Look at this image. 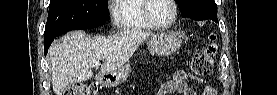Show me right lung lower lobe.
<instances>
[{
    "label": "right lung lower lobe",
    "instance_id": "right-lung-lower-lobe-1",
    "mask_svg": "<svg viewBox=\"0 0 277 95\" xmlns=\"http://www.w3.org/2000/svg\"><path fill=\"white\" fill-rule=\"evenodd\" d=\"M54 39H45V45H44V51H45V55L47 54L48 52V49L52 43Z\"/></svg>",
    "mask_w": 277,
    "mask_h": 95
}]
</instances>
